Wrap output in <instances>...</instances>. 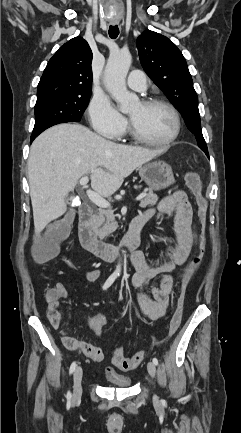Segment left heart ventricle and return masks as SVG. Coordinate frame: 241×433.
Listing matches in <instances>:
<instances>
[{
  "instance_id": "b2bd125f",
  "label": "left heart ventricle",
  "mask_w": 241,
  "mask_h": 433,
  "mask_svg": "<svg viewBox=\"0 0 241 433\" xmlns=\"http://www.w3.org/2000/svg\"><path fill=\"white\" fill-rule=\"evenodd\" d=\"M129 117L135 128L153 141L166 140L175 129L172 113L163 106L147 107L138 103L130 109Z\"/></svg>"
}]
</instances>
